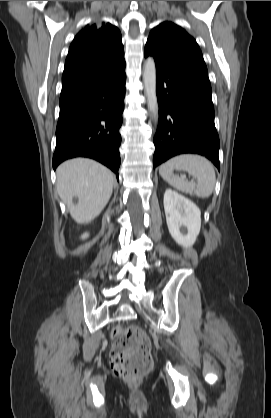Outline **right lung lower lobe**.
<instances>
[{"mask_svg":"<svg viewBox=\"0 0 271 418\" xmlns=\"http://www.w3.org/2000/svg\"><path fill=\"white\" fill-rule=\"evenodd\" d=\"M125 66L93 88L60 102L53 168L78 156L93 158L118 178Z\"/></svg>","mask_w":271,"mask_h":418,"instance_id":"right-lung-lower-lobe-1","label":"right lung lower lobe"}]
</instances>
